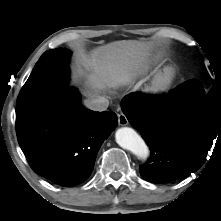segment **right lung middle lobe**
<instances>
[{
	"mask_svg": "<svg viewBox=\"0 0 221 221\" xmlns=\"http://www.w3.org/2000/svg\"><path fill=\"white\" fill-rule=\"evenodd\" d=\"M70 52L63 48L46 51L36 63L30 77L46 79L38 86L21 90L16 103V127L37 117L50 102L52 92L67 85Z\"/></svg>",
	"mask_w": 221,
	"mask_h": 221,
	"instance_id": "obj_1",
	"label": "right lung middle lobe"
}]
</instances>
